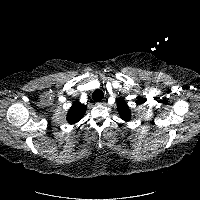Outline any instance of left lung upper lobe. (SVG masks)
<instances>
[{"label": "left lung upper lobe", "instance_id": "obj_1", "mask_svg": "<svg viewBox=\"0 0 200 200\" xmlns=\"http://www.w3.org/2000/svg\"><path fill=\"white\" fill-rule=\"evenodd\" d=\"M117 109L119 111L120 117L123 120H125V121H129L130 120V118H131V112H130L127 104L122 99H120L118 101Z\"/></svg>", "mask_w": 200, "mask_h": 200}]
</instances>
